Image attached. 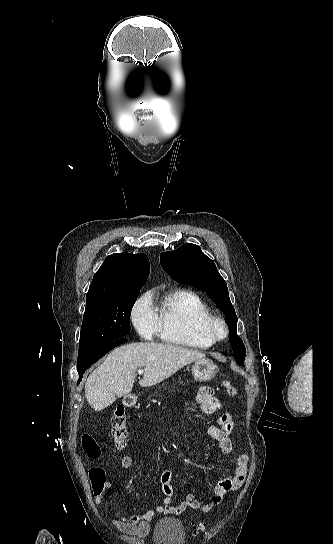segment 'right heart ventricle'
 Segmentation results:
<instances>
[{
	"label": "right heart ventricle",
	"instance_id": "e07e8e85",
	"mask_svg": "<svg viewBox=\"0 0 333 544\" xmlns=\"http://www.w3.org/2000/svg\"><path fill=\"white\" fill-rule=\"evenodd\" d=\"M211 314L209 305L196 292L173 290L164 296L158 310L160 337L171 344L209 348L213 343L203 335L202 326Z\"/></svg>",
	"mask_w": 333,
	"mask_h": 544
}]
</instances>
